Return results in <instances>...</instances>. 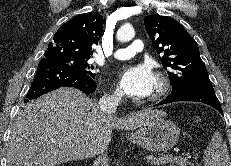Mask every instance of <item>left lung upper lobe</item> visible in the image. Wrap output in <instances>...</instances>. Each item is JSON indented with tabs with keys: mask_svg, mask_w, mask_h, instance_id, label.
<instances>
[{
	"mask_svg": "<svg viewBox=\"0 0 231 166\" xmlns=\"http://www.w3.org/2000/svg\"><path fill=\"white\" fill-rule=\"evenodd\" d=\"M144 24L163 67L169 70L173 92L190 85L212 86L196 41L180 23L148 15Z\"/></svg>",
	"mask_w": 231,
	"mask_h": 166,
	"instance_id": "left-lung-upper-lobe-1",
	"label": "left lung upper lobe"
}]
</instances>
